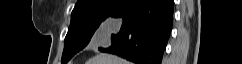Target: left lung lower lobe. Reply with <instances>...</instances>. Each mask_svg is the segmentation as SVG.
Masks as SVG:
<instances>
[{
    "label": "left lung lower lobe",
    "mask_w": 242,
    "mask_h": 64,
    "mask_svg": "<svg viewBox=\"0 0 242 64\" xmlns=\"http://www.w3.org/2000/svg\"><path fill=\"white\" fill-rule=\"evenodd\" d=\"M173 0H127L109 17L122 23L111 46L99 48L136 64H161L173 24Z\"/></svg>",
    "instance_id": "1"
}]
</instances>
